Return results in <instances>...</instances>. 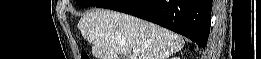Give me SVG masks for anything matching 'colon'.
<instances>
[{
	"instance_id": "obj_1",
	"label": "colon",
	"mask_w": 261,
	"mask_h": 59,
	"mask_svg": "<svg viewBox=\"0 0 261 59\" xmlns=\"http://www.w3.org/2000/svg\"><path fill=\"white\" fill-rule=\"evenodd\" d=\"M90 57H89V55L87 54V53H83L82 55H81V59H89Z\"/></svg>"
}]
</instances>
